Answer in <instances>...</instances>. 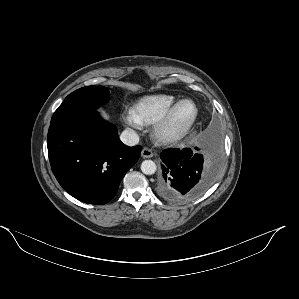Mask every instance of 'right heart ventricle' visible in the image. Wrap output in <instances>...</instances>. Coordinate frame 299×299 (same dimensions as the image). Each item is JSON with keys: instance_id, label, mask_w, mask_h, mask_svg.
I'll return each mask as SVG.
<instances>
[{"instance_id": "1", "label": "right heart ventricle", "mask_w": 299, "mask_h": 299, "mask_svg": "<svg viewBox=\"0 0 299 299\" xmlns=\"http://www.w3.org/2000/svg\"><path fill=\"white\" fill-rule=\"evenodd\" d=\"M177 99L169 94H154L141 98L133 107L135 116L142 124H153L173 105Z\"/></svg>"}]
</instances>
